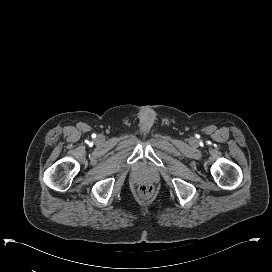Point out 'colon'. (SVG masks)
Masks as SVG:
<instances>
[{
  "instance_id": "1",
  "label": "colon",
  "mask_w": 272,
  "mask_h": 272,
  "mask_svg": "<svg viewBox=\"0 0 272 272\" xmlns=\"http://www.w3.org/2000/svg\"><path fill=\"white\" fill-rule=\"evenodd\" d=\"M139 193H140L141 196H143L145 198H149L153 194V187L151 185H148V184L142 185L139 188Z\"/></svg>"
}]
</instances>
